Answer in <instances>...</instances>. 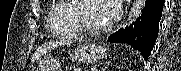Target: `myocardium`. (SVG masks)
Listing matches in <instances>:
<instances>
[{
    "label": "myocardium",
    "instance_id": "1",
    "mask_svg": "<svg viewBox=\"0 0 181 71\" xmlns=\"http://www.w3.org/2000/svg\"><path fill=\"white\" fill-rule=\"evenodd\" d=\"M86 1L90 0H74L72 2V12H73L72 18L74 24L78 28L80 34H84L87 36H98L105 33L106 31L109 30L110 25L107 24L101 27L94 28L86 25L85 22L83 21L81 17V8H82V3Z\"/></svg>",
    "mask_w": 181,
    "mask_h": 71
}]
</instances>
